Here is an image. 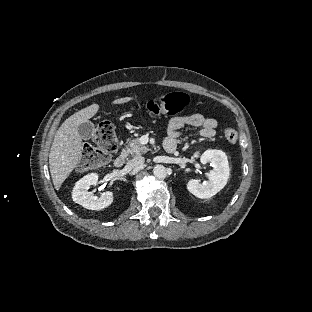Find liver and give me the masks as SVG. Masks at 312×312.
I'll return each mask as SVG.
<instances>
[{
  "mask_svg": "<svg viewBox=\"0 0 312 312\" xmlns=\"http://www.w3.org/2000/svg\"><path fill=\"white\" fill-rule=\"evenodd\" d=\"M132 99V97L119 98L112 104H123ZM98 110V104L81 109L67 118L56 131L49 153V168L56 190L60 189L81 157L82 137L78 133V126L87 122Z\"/></svg>",
  "mask_w": 312,
  "mask_h": 312,
  "instance_id": "1",
  "label": "liver"
}]
</instances>
